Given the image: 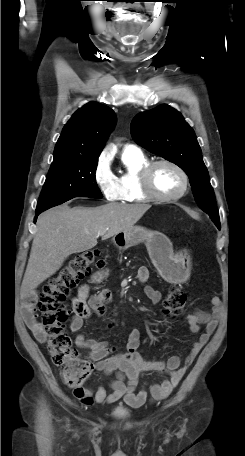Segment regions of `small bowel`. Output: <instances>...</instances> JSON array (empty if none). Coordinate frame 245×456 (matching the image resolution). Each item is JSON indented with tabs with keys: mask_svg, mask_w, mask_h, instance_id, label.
<instances>
[{
	"mask_svg": "<svg viewBox=\"0 0 245 456\" xmlns=\"http://www.w3.org/2000/svg\"><path fill=\"white\" fill-rule=\"evenodd\" d=\"M106 275V269H99L91 276L89 283L82 284L78 288L73 300V316L69 323L72 332L80 331L85 320L92 313L101 316L107 312L108 306L112 302L110 290L101 289L96 293H91V285L102 282ZM137 278L140 282H146L149 278V270L146 267L139 268ZM144 293L154 304L159 303L162 299L161 292L151 286H146ZM36 301V294L30 295L24 302L22 315L34 337L39 342H45L46 333L36 319ZM210 306V312L194 311L186 316V322L192 333H199L201 325H204L205 328L198 340L192 344L183 365L178 356H172L167 361L145 359L137 351L140 343V332L137 329H131L127 333L125 348L117 353H113L114 348L106 341L88 338L83 333L78 334L75 343L79 348L88 352L89 358L95 362V368L106 374L115 373L116 378L110 382V393H107L103 386L97 387L96 390L79 386L74 389L75 397L85 405H92L94 402L111 404L122 398L126 404L134 408L143 406L149 395L155 401L167 398L207 344L218 325L222 309L220 298L212 297ZM116 322L114 319L109 327L115 326ZM145 372L166 373L169 378L137 391L139 377Z\"/></svg>",
	"mask_w": 245,
	"mask_h": 456,
	"instance_id": "c3829d8e",
	"label": "small bowel"
}]
</instances>
